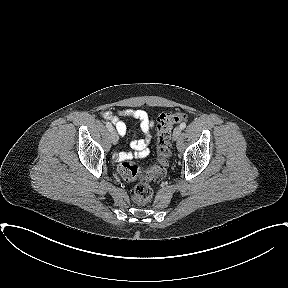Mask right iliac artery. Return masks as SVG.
<instances>
[{
    "label": "right iliac artery",
    "mask_w": 288,
    "mask_h": 288,
    "mask_svg": "<svg viewBox=\"0 0 288 288\" xmlns=\"http://www.w3.org/2000/svg\"><path fill=\"white\" fill-rule=\"evenodd\" d=\"M106 127L108 128V130H109L110 132L113 131V127H112L111 123L106 122Z\"/></svg>",
    "instance_id": "right-iliac-artery-1"
}]
</instances>
